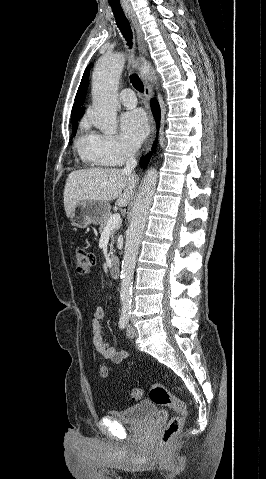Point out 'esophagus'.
Segmentation results:
<instances>
[{
  "instance_id": "esophagus-1",
  "label": "esophagus",
  "mask_w": 266,
  "mask_h": 479,
  "mask_svg": "<svg viewBox=\"0 0 266 479\" xmlns=\"http://www.w3.org/2000/svg\"><path fill=\"white\" fill-rule=\"evenodd\" d=\"M126 12L128 13V16L131 19V22H132L133 27H134L135 32H136L138 51L141 55H146L147 54V44H146V40L144 38L143 30H142L141 25L138 21V18H137L136 14L134 13L133 10H126ZM141 78H142L143 85H144V96L147 100H149L152 96V86L149 83L146 76H144V74H142V73H141ZM155 133H156L155 121H154L153 116L150 114V134H149V137H148V140L145 144V149H144L146 153L151 149V146H152L153 141H154Z\"/></svg>"
}]
</instances>
